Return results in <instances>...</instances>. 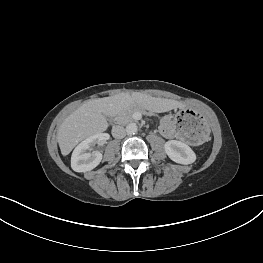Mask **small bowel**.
<instances>
[{"label":"small bowel","mask_w":263,"mask_h":263,"mask_svg":"<svg viewBox=\"0 0 263 263\" xmlns=\"http://www.w3.org/2000/svg\"><path fill=\"white\" fill-rule=\"evenodd\" d=\"M160 131L166 138H174L177 136L173 121L170 116H165L160 122Z\"/></svg>","instance_id":"small-bowel-1"}]
</instances>
